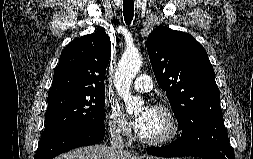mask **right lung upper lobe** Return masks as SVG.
I'll return each mask as SVG.
<instances>
[{
    "label": "right lung upper lobe",
    "mask_w": 253,
    "mask_h": 159,
    "mask_svg": "<svg viewBox=\"0 0 253 159\" xmlns=\"http://www.w3.org/2000/svg\"><path fill=\"white\" fill-rule=\"evenodd\" d=\"M111 42L103 29L76 38L62 51L48 98L104 89Z\"/></svg>",
    "instance_id": "obj_1"
}]
</instances>
